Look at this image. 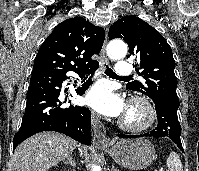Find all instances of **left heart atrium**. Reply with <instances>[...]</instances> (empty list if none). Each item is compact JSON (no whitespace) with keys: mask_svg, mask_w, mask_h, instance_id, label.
Wrapping results in <instances>:
<instances>
[{"mask_svg":"<svg viewBox=\"0 0 199 171\" xmlns=\"http://www.w3.org/2000/svg\"><path fill=\"white\" fill-rule=\"evenodd\" d=\"M85 102L95 111L107 116H119L124 111L122 99L107 83H98L92 87L85 97Z\"/></svg>","mask_w":199,"mask_h":171,"instance_id":"39dd6f15","label":"left heart atrium"}]
</instances>
